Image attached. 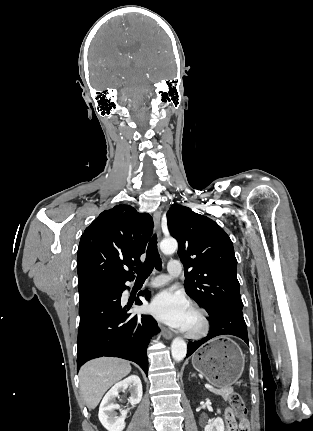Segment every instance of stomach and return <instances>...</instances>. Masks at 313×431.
Segmentation results:
<instances>
[{"label":"stomach","instance_id":"0dacf381","mask_svg":"<svg viewBox=\"0 0 313 431\" xmlns=\"http://www.w3.org/2000/svg\"><path fill=\"white\" fill-rule=\"evenodd\" d=\"M193 367L213 386L230 387L242 375L245 365L240 347L228 337L210 340L192 356Z\"/></svg>","mask_w":313,"mask_h":431}]
</instances>
